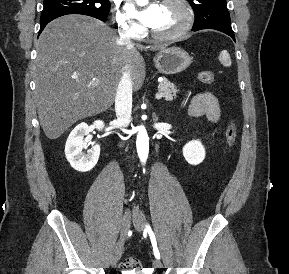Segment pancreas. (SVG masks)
Segmentation results:
<instances>
[{
  "label": "pancreas",
  "mask_w": 289,
  "mask_h": 274,
  "mask_svg": "<svg viewBox=\"0 0 289 274\" xmlns=\"http://www.w3.org/2000/svg\"><path fill=\"white\" fill-rule=\"evenodd\" d=\"M159 93L162 94V96L169 101H172L174 98H176V94L178 92L177 87L168 81L167 79H164L158 87Z\"/></svg>",
  "instance_id": "cf45deb5"
}]
</instances>
